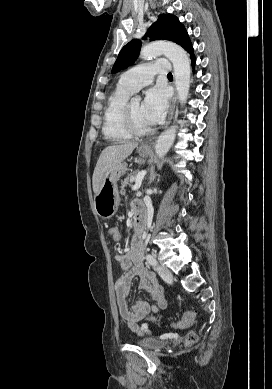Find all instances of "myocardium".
<instances>
[{"mask_svg":"<svg viewBox=\"0 0 272 389\" xmlns=\"http://www.w3.org/2000/svg\"><path fill=\"white\" fill-rule=\"evenodd\" d=\"M123 123L127 131L132 135L136 137H142L145 135H148L152 133L153 129L152 127H148L145 129H141L137 126L134 117L133 112L131 108V101H128L123 112Z\"/></svg>","mask_w":272,"mask_h":389,"instance_id":"obj_1","label":"myocardium"}]
</instances>
